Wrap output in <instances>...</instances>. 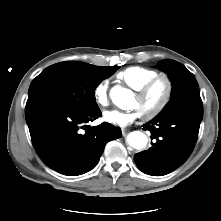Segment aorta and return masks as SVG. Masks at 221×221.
I'll return each instance as SVG.
<instances>
[{"label": "aorta", "instance_id": "762f6f07", "mask_svg": "<svg viewBox=\"0 0 221 221\" xmlns=\"http://www.w3.org/2000/svg\"><path fill=\"white\" fill-rule=\"evenodd\" d=\"M113 103L121 109H125L127 105V99L131 97V91L126 88L116 86L112 88L110 93ZM147 136L140 131H133L128 134L127 142L135 149H142L147 145Z\"/></svg>", "mask_w": 221, "mask_h": 221}]
</instances>
